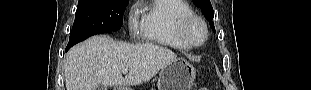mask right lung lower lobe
<instances>
[{
    "instance_id": "1",
    "label": "right lung lower lobe",
    "mask_w": 311,
    "mask_h": 90,
    "mask_svg": "<svg viewBox=\"0 0 311 90\" xmlns=\"http://www.w3.org/2000/svg\"><path fill=\"white\" fill-rule=\"evenodd\" d=\"M70 47H72V46H67V47H66V51L69 50Z\"/></svg>"
}]
</instances>
